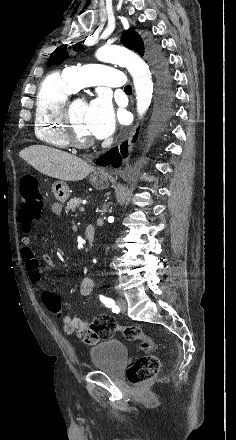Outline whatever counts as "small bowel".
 <instances>
[{
  "instance_id": "1",
  "label": "small bowel",
  "mask_w": 236,
  "mask_h": 440,
  "mask_svg": "<svg viewBox=\"0 0 236 440\" xmlns=\"http://www.w3.org/2000/svg\"><path fill=\"white\" fill-rule=\"evenodd\" d=\"M62 206L59 202H55L52 205V211L55 214L61 213ZM22 252L21 257L25 263L26 270L28 271L29 277L34 283H40L42 279V272L39 265L38 257L35 251L31 247V239L25 236L21 239ZM44 261L48 264L51 263L49 257H45ZM94 287V283L91 277L86 276L82 279L79 294L81 297H87L90 295ZM49 291H45L42 294V299L44 302V295ZM52 293V292H51ZM63 331L66 334L76 333L77 339H93L95 337V332L90 330L89 323L79 317H72L70 315H64L63 317ZM89 344L96 343V340L86 341Z\"/></svg>"
}]
</instances>
